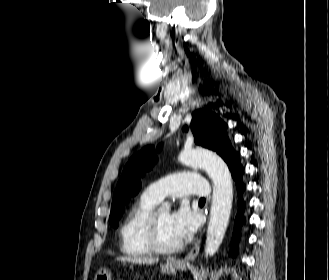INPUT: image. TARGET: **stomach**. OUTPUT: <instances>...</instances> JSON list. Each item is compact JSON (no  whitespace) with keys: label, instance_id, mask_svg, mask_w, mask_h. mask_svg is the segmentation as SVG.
I'll use <instances>...</instances> for the list:
<instances>
[{"label":"stomach","instance_id":"0dacf381","mask_svg":"<svg viewBox=\"0 0 329 280\" xmlns=\"http://www.w3.org/2000/svg\"><path fill=\"white\" fill-rule=\"evenodd\" d=\"M181 267L176 264L167 263L161 267V272L168 275H174ZM94 280H111V272L107 268H100Z\"/></svg>","mask_w":329,"mask_h":280}]
</instances>
